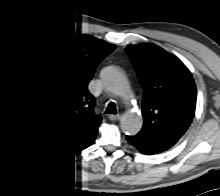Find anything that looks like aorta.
Here are the masks:
<instances>
[{
	"label": "aorta",
	"mask_w": 220,
	"mask_h": 196,
	"mask_svg": "<svg viewBox=\"0 0 220 196\" xmlns=\"http://www.w3.org/2000/svg\"><path fill=\"white\" fill-rule=\"evenodd\" d=\"M106 83L111 89L124 100L128 101L132 98V93L125 76L118 70H110L105 76ZM143 119L139 113L127 111L122 119L121 126L127 134H136L142 127Z\"/></svg>",
	"instance_id": "1"
}]
</instances>
